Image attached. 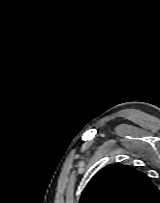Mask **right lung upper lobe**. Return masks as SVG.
<instances>
[{
	"label": "right lung upper lobe",
	"instance_id": "obj_1",
	"mask_svg": "<svg viewBox=\"0 0 160 203\" xmlns=\"http://www.w3.org/2000/svg\"><path fill=\"white\" fill-rule=\"evenodd\" d=\"M158 195L157 187L145 173L110 164L93 176L79 203H154Z\"/></svg>",
	"mask_w": 160,
	"mask_h": 203
}]
</instances>
